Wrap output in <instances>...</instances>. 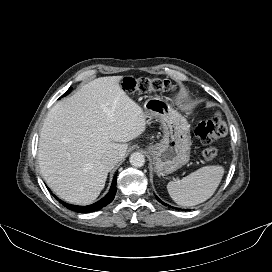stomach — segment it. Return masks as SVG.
<instances>
[{
    "label": "stomach",
    "instance_id": "stomach-1",
    "mask_svg": "<svg viewBox=\"0 0 272 272\" xmlns=\"http://www.w3.org/2000/svg\"><path fill=\"white\" fill-rule=\"evenodd\" d=\"M144 114L146 118H156L164 129L162 141L147 148L153 157L156 173L170 174L188 163L191 141L185 119L159 97L146 100Z\"/></svg>",
    "mask_w": 272,
    "mask_h": 272
}]
</instances>
